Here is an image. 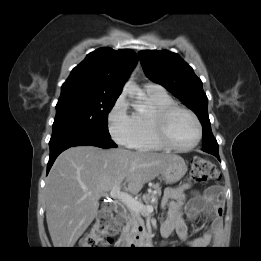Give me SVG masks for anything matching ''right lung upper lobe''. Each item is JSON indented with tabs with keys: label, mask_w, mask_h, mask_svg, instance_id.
I'll use <instances>...</instances> for the list:
<instances>
[{
	"label": "right lung upper lobe",
	"mask_w": 261,
	"mask_h": 261,
	"mask_svg": "<svg viewBox=\"0 0 261 261\" xmlns=\"http://www.w3.org/2000/svg\"><path fill=\"white\" fill-rule=\"evenodd\" d=\"M136 62L131 49L99 48L72 70L61 95L119 96Z\"/></svg>",
	"instance_id": "1"
}]
</instances>
